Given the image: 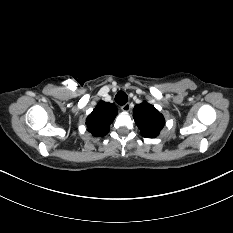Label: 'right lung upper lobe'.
I'll list each match as a JSON object with an SVG mask.
<instances>
[{
	"label": "right lung upper lobe",
	"instance_id": "obj_1",
	"mask_svg": "<svg viewBox=\"0 0 233 233\" xmlns=\"http://www.w3.org/2000/svg\"><path fill=\"white\" fill-rule=\"evenodd\" d=\"M117 114L118 109L114 104L100 101L86 119L88 131L93 136H105L109 132L110 124Z\"/></svg>",
	"mask_w": 233,
	"mask_h": 233
}]
</instances>
